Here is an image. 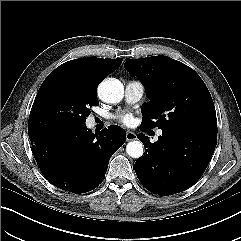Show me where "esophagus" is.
Listing matches in <instances>:
<instances>
[{"instance_id":"34e87169","label":"esophagus","mask_w":241,"mask_h":241,"mask_svg":"<svg viewBox=\"0 0 241 241\" xmlns=\"http://www.w3.org/2000/svg\"><path fill=\"white\" fill-rule=\"evenodd\" d=\"M137 139V135L134 132L128 131L126 133V140L127 141H132V140H136Z\"/></svg>"}]
</instances>
